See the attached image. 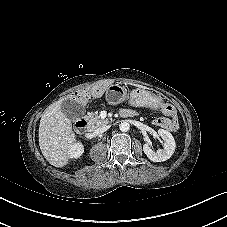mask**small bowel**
I'll return each instance as SVG.
<instances>
[{
	"label": "small bowel",
	"mask_w": 227,
	"mask_h": 227,
	"mask_svg": "<svg viewBox=\"0 0 227 227\" xmlns=\"http://www.w3.org/2000/svg\"><path fill=\"white\" fill-rule=\"evenodd\" d=\"M162 111L170 116V118L168 117H159L156 118L154 120V124L160 128L166 129V130H170V131H174L177 129L178 127V121L177 118L174 116V109L171 105H164L162 107ZM122 115L124 117H130L133 115V112L130 110H123L122 111Z\"/></svg>",
	"instance_id": "c3829d8e"
}]
</instances>
